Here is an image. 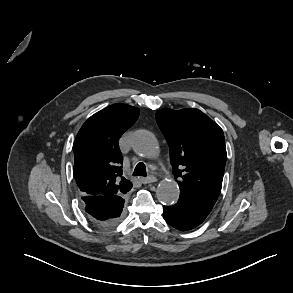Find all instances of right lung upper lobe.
Listing matches in <instances>:
<instances>
[{
  "label": "right lung upper lobe",
  "mask_w": 293,
  "mask_h": 293,
  "mask_svg": "<svg viewBox=\"0 0 293 293\" xmlns=\"http://www.w3.org/2000/svg\"><path fill=\"white\" fill-rule=\"evenodd\" d=\"M139 112L136 107L113 104L84 123L73 145L74 177L83 196L125 195L132 188L122 177L118 140Z\"/></svg>",
  "instance_id": "1"
}]
</instances>
